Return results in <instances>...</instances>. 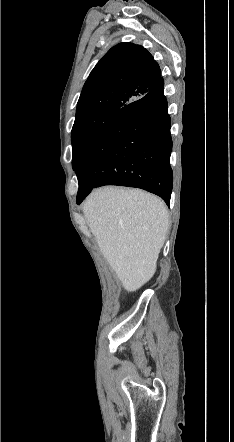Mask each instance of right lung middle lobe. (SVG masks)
<instances>
[{"instance_id": "right-lung-middle-lobe-1", "label": "right lung middle lobe", "mask_w": 234, "mask_h": 442, "mask_svg": "<svg viewBox=\"0 0 234 442\" xmlns=\"http://www.w3.org/2000/svg\"><path fill=\"white\" fill-rule=\"evenodd\" d=\"M118 111H101L75 120L71 132L74 170L103 135Z\"/></svg>"}]
</instances>
